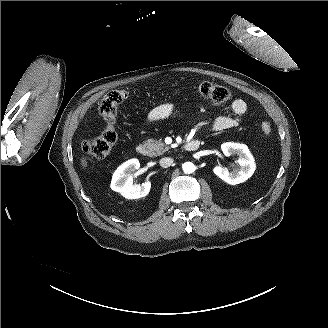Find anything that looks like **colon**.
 Listing matches in <instances>:
<instances>
[{
  "mask_svg": "<svg viewBox=\"0 0 328 328\" xmlns=\"http://www.w3.org/2000/svg\"><path fill=\"white\" fill-rule=\"evenodd\" d=\"M202 97L211 100L216 104L226 103L230 100L229 90L221 85L211 82H202L193 87ZM132 94L125 90H111L101 99L98 110L105 122L104 130L95 138L85 141L82 144V151L90 157L101 159L107 156L117 141L115 122L118 107L130 99ZM261 130L264 134H270L271 125L264 121L261 123Z\"/></svg>",
  "mask_w": 328,
  "mask_h": 328,
  "instance_id": "colon-1",
  "label": "colon"
}]
</instances>
